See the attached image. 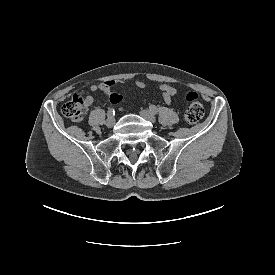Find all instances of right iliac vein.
<instances>
[{
	"mask_svg": "<svg viewBox=\"0 0 275 275\" xmlns=\"http://www.w3.org/2000/svg\"><path fill=\"white\" fill-rule=\"evenodd\" d=\"M114 124H115V118L113 116L108 117V119L106 120V126L108 128H111L114 126Z\"/></svg>",
	"mask_w": 275,
	"mask_h": 275,
	"instance_id": "obj_1",
	"label": "right iliac vein"
}]
</instances>
